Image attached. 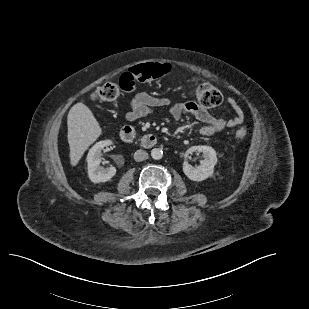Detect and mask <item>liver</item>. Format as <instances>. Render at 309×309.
<instances>
[{"instance_id": "6515ba94", "label": "liver", "mask_w": 309, "mask_h": 309, "mask_svg": "<svg viewBox=\"0 0 309 309\" xmlns=\"http://www.w3.org/2000/svg\"><path fill=\"white\" fill-rule=\"evenodd\" d=\"M70 164L76 166L87 148L101 135L92 111L83 103L73 105L67 116Z\"/></svg>"}]
</instances>
